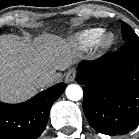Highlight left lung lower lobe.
Segmentation results:
<instances>
[{
	"instance_id": "1",
	"label": "left lung lower lobe",
	"mask_w": 139,
	"mask_h": 139,
	"mask_svg": "<svg viewBox=\"0 0 139 139\" xmlns=\"http://www.w3.org/2000/svg\"><path fill=\"white\" fill-rule=\"evenodd\" d=\"M83 110L90 125L106 135H123L139 124V40L78 65Z\"/></svg>"
}]
</instances>
